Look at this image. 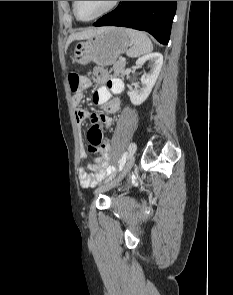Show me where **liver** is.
Masks as SVG:
<instances>
[{"mask_svg":"<svg viewBox=\"0 0 233 295\" xmlns=\"http://www.w3.org/2000/svg\"><path fill=\"white\" fill-rule=\"evenodd\" d=\"M104 28H97V29H89L83 32L73 33L69 36L67 43H66V49L68 48L69 44L72 43L74 40H84L88 39L101 31H103Z\"/></svg>","mask_w":233,"mask_h":295,"instance_id":"1","label":"liver"}]
</instances>
